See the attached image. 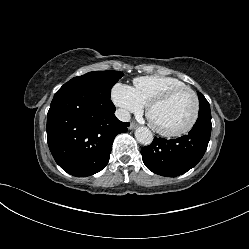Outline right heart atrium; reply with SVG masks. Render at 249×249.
<instances>
[{"label":"right heart atrium","instance_id":"right-heart-atrium-1","mask_svg":"<svg viewBox=\"0 0 249 249\" xmlns=\"http://www.w3.org/2000/svg\"><path fill=\"white\" fill-rule=\"evenodd\" d=\"M111 98L123 116H128L130 112L138 113L144 108L134 88L127 84L116 83L112 88Z\"/></svg>","mask_w":249,"mask_h":249}]
</instances>
